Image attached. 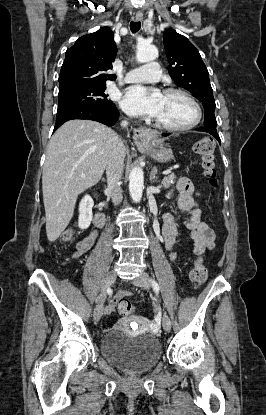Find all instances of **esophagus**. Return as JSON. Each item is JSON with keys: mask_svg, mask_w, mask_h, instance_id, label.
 <instances>
[{"mask_svg": "<svg viewBox=\"0 0 266 415\" xmlns=\"http://www.w3.org/2000/svg\"><path fill=\"white\" fill-rule=\"evenodd\" d=\"M143 20V15L142 14H136L135 16V21H142ZM150 135L149 130L145 129V128H138L134 131V141L136 144H142L147 137Z\"/></svg>", "mask_w": 266, "mask_h": 415, "instance_id": "obj_1", "label": "esophagus"}]
</instances>
